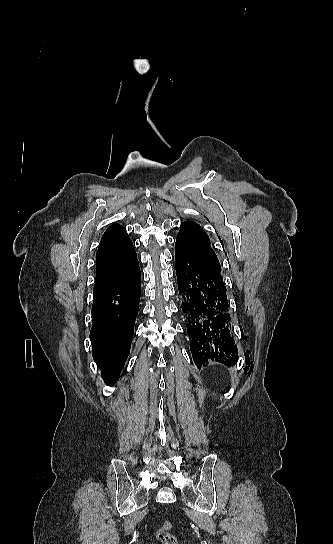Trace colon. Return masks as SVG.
Returning a JSON list of instances; mask_svg holds the SVG:
<instances>
[{
    "mask_svg": "<svg viewBox=\"0 0 333 544\" xmlns=\"http://www.w3.org/2000/svg\"><path fill=\"white\" fill-rule=\"evenodd\" d=\"M172 523L164 521L156 531V538L161 544H178L176 537L171 533Z\"/></svg>",
    "mask_w": 333,
    "mask_h": 544,
    "instance_id": "1",
    "label": "colon"
}]
</instances>
